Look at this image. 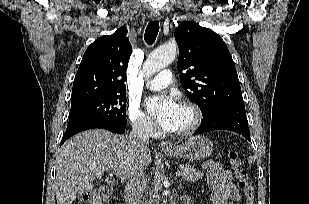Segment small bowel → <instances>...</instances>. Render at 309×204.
<instances>
[{
    "label": "small bowel",
    "instance_id": "1",
    "mask_svg": "<svg viewBox=\"0 0 309 204\" xmlns=\"http://www.w3.org/2000/svg\"><path fill=\"white\" fill-rule=\"evenodd\" d=\"M204 167L209 185L214 192L213 204H236L240 195L233 183L232 173L223 169L216 161H208Z\"/></svg>",
    "mask_w": 309,
    "mask_h": 204
}]
</instances>
